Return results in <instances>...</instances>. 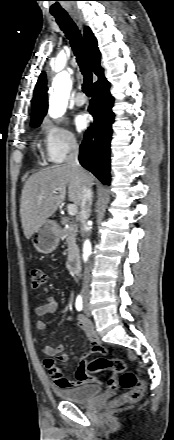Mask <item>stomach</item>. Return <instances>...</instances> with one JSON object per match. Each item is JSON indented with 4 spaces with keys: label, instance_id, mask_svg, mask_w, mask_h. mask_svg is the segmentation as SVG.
<instances>
[{
    "label": "stomach",
    "instance_id": "0dacf381",
    "mask_svg": "<svg viewBox=\"0 0 174 440\" xmlns=\"http://www.w3.org/2000/svg\"><path fill=\"white\" fill-rule=\"evenodd\" d=\"M61 230L53 220L44 221L34 232L32 243L35 249L43 254L52 253L58 246Z\"/></svg>",
    "mask_w": 174,
    "mask_h": 440
}]
</instances>
